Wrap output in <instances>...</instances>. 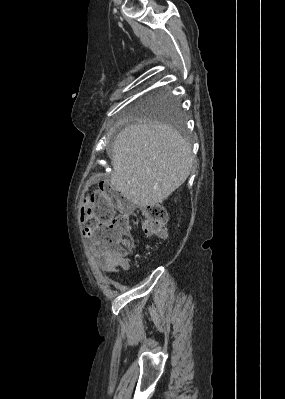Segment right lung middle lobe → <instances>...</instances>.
<instances>
[{
    "label": "right lung middle lobe",
    "mask_w": 285,
    "mask_h": 399,
    "mask_svg": "<svg viewBox=\"0 0 285 399\" xmlns=\"http://www.w3.org/2000/svg\"><path fill=\"white\" fill-rule=\"evenodd\" d=\"M138 111L142 115L159 117L172 124H176L180 116L178 102L168 96L166 91L142 100L138 104Z\"/></svg>",
    "instance_id": "obj_1"
}]
</instances>
